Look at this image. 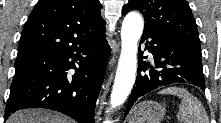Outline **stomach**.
<instances>
[{
    "instance_id": "obj_1",
    "label": "stomach",
    "mask_w": 221,
    "mask_h": 123,
    "mask_svg": "<svg viewBox=\"0 0 221 123\" xmlns=\"http://www.w3.org/2000/svg\"><path fill=\"white\" fill-rule=\"evenodd\" d=\"M165 113V105L155 101H143L133 108L129 123H160Z\"/></svg>"
}]
</instances>
